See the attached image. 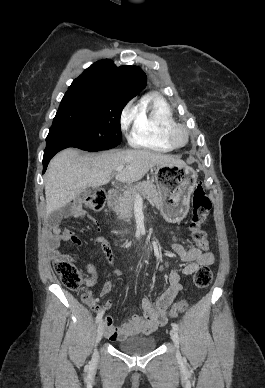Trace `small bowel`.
Returning a JSON list of instances; mask_svg holds the SVG:
<instances>
[{"label":"small bowel","instance_id":"small-bowel-1","mask_svg":"<svg viewBox=\"0 0 265 388\" xmlns=\"http://www.w3.org/2000/svg\"><path fill=\"white\" fill-rule=\"evenodd\" d=\"M84 217L93 220V218L84 211L80 202H74L71 206L65 208L61 213L56 214L51 218L50 228L54 236L52 238L49 251L53 260H66L73 262L74 258L69 255L62 254L59 251V246L64 241H71L77 245L82 243L76 234L70 230H65L61 233L59 225L61 218L81 219ZM92 244L101 248L106 264L112 269L107 273V277L109 279L101 288L100 296L104 297L112 290L113 282L111 278L119 276L121 271L113 268L114 256L109 242L105 237H94L92 239ZM172 249L179 259L185 262L186 265L181 269H175L169 273V287L159 296L155 304H153L149 298H142V315H132L119 327L113 324V319L110 316L105 317L103 323L107 338L113 341L121 340L128 336L149 334L159 327L164 326L168 321V310L182 289L181 280L186 276L192 275L200 266H209L215 260L213 253L202 251L198 247H186L181 243H175L173 244ZM86 271L88 273V277L85 279L84 283L87 287H92L96 284L98 279L96 267L93 263L86 262ZM98 301L99 298H93L91 300V307L99 313L102 311L105 313V311L109 310L113 304L112 300L109 299L102 306H98Z\"/></svg>","mask_w":265,"mask_h":388}]
</instances>
